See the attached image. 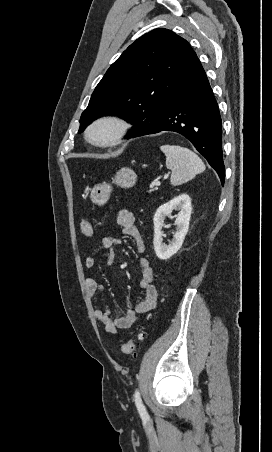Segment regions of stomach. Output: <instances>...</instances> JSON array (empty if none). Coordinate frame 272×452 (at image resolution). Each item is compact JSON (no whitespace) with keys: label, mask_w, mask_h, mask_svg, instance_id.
<instances>
[{"label":"stomach","mask_w":272,"mask_h":452,"mask_svg":"<svg viewBox=\"0 0 272 452\" xmlns=\"http://www.w3.org/2000/svg\"><path fill=\"white\" fill-rule=\"evenodd\" d=\"M136 181V173L128 167L121 168L112 178V183L122 188H130L135 185ZM111 191L112 187L110 184H98L90 190L89 198L93 204L103 205L109 200Z\"/></svg>","instance_id":"obj_1"}]
</instances>
